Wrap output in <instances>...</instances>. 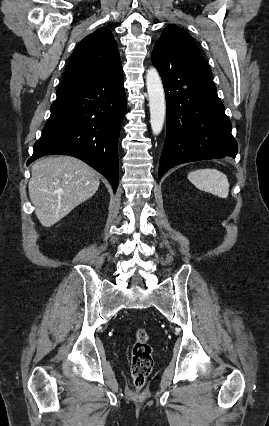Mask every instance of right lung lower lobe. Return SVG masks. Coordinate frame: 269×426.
<instances>
[{"instance_id":"1","label":"right lung lower lobe","mask_w":269,"mask_h":426,"mask_svg":"<svg viewBox=\"0 0 269 426\" xmlns=\"http://www.w3.org/2000/svg\"><path fill=\"white\" fill-rule=\"evenodd\" d=\"M51 115L28 160L50 154L81 159L118 186V139L126 112L123 72L97 81L60 86Z\"/></svg>"}]
</instances>
